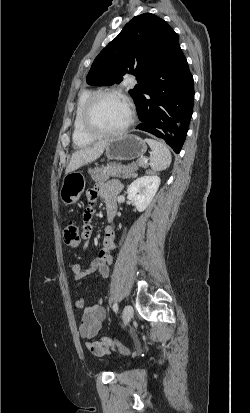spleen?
Segmentation results:
<instances>
[{
    "mask_svg": "<svg viewBox=\"0 0 250 413\" xmlns=\"http://www.w3.org/2000/svg\"><path fill=\"white\" fill-rule=\"evenodd\" d=\"M146 142L152 150L149 158L151 169L158 172L168 168L172 160L168 147L162 142L153 139H146Z\"/></svg>",
    "mask_w": 250,
    "mask_h": 413,
    "instance_id": "spleen-1",
    "label": "spleen"
}]
</instances>
